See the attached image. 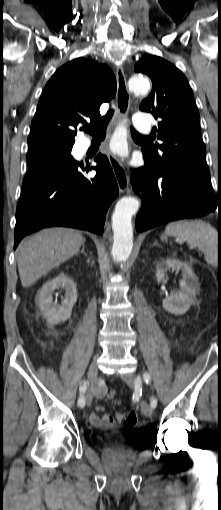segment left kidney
Wrapping results in <instances>:
<instances>
[{"mask_svg":"<svg viewBox=\"0 0 221 510\" xmlns=\"http://www.w3.org/2000/svg\"><path fill=\"white\" fill-rule=\"evenodd\" d=\"M170 269L181 270L183 278L179 282L180 290L163 300V309L171 314H185L193 304L196 292L199 288L198 280L187 264L178 259L167 258L161 260L156 267V279L158 283L164 281L166 273Z\"/></svg>","mask_w":221,"mask_h":510,"instance_id":"left-kidney-1","label":"left kidney"}]
</instances>
